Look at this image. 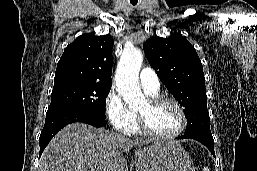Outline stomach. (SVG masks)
Returning <instances> with one entry per match:
<instances>
[{
	"label": "stomach",
	"mask_w": 257,
	"mask_h": 171,
	"mask_svg": "<svg viewBox=\"0 0 257 171\" xmlns=\"http://www.w3.org/2000/svg\"><path fill=\"white\" fill-rule=\"evenodd\" d=\"M136 171H195L188 153L175 141H157L135 151Z\"/></svg>",
	"instance_id": "stomach-1"
}]
</instances>
